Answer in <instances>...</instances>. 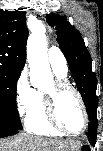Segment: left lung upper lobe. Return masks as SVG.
Wrapping results in <instances>:
<instances>
[{
  "mask_svg": "<svg viewBox=\"0 0 103 151\" xmlns=\"http://www.w3.org/2000/svg\"><path fill=\"white\" fill-rule=\"evenodd\" d=\"M46 21L56 29L57 42L68 61L87 112L94 111L98 102L96 97L97 78L96 74L92 72L91 56L80 32L59 14H48Z\"/></svg>",
  "mask_w": 103,
  "mask_h": 151,
  "instance_id": "1",
  "label": "left lung upper lobe"
}]
</instances>
